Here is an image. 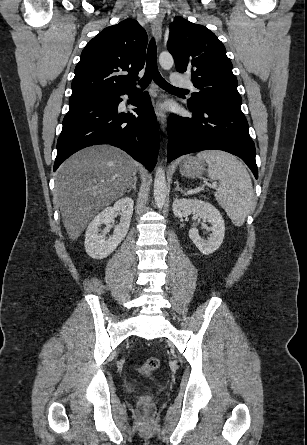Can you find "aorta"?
Listing matches in <instances>:
<instances>
[{"label":"aorta","instance_id":"aorta-1","mask_svg":"<svg viewBox=\"0 0 307 445\" xmlns=\"http://www.w3.org/2000/svg\"><path fill=\"white\" fill-rule=\"evenodd\" d=\"M159 62L162 68H166V70H168V68L173 66L174 60L172 54H170V52H166V50H163V52H160ZM166 194L167 184L165 172L162 166H158L154 178V198L155 204H157L158 208H162L166 200Z\"/></svg>","mask_w":307,"mask_h":445}]
</instances>
